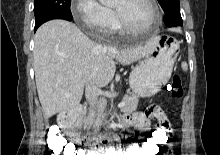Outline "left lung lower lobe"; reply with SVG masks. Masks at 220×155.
<instances>
[{
  "mask_svg": "<svg viewBox=\"0 0 220 155\" xmlns=\"http://www.w3.org/2000/svg\"><path fill=\"white\" fill-rule=\"evenodd\" d=\"M164 23L167 27H178L183 25L180 10L165 13Z\"/></svg>",
  "mask_w": 220,
  "mask_h": 155,
  "instance_id": "obj_1",
  "label": "left lung lower lobe"
}]
</instances>
